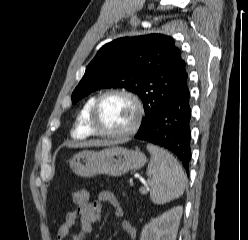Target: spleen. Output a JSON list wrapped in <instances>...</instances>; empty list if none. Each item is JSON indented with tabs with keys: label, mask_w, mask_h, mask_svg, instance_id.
I'll return each mask as SVG.
<instances>
[{
	"label": "spleen",
	"mask_w": 248,
	"mask_h": 240,
	"mask_svg": "<svg viewBox=\"0 0 248 240\" xmlns=\"http://www.w3.org/2000/svg\"><path fill=\"white\" fill-rule=\"evenodd\" d=\"M151 160L147 168L150 198L155 204H164L183 195L186 176L175 157L152 144L147 145Z\"/></svg>",
	"instance_id": "obj_1"
}]
</instances>
